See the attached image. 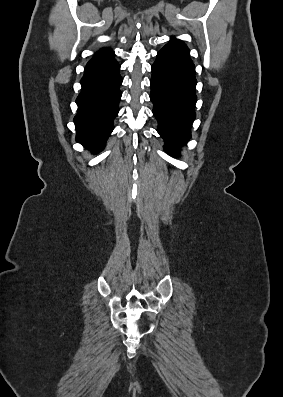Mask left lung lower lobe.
Wrapping results in <instances>:
<instances>
[{"label":"left lung lower lobe","mask_w":283,"mask_h":397,"mask_svg":"<svg viewBox=\"0 0 283 397\" xmlns=\"http://www.w3.org/2000/svg\"><path fill=\"white\" fill-rule=\"evenodd\" d=\"M150 99L158 121V133L165 150L175 157L191 138L196 117L195 67L188 55L172 45H165L152 65Z\"/></svg>","instance_id":"0a47b994"}]
</instances>
